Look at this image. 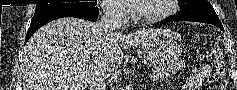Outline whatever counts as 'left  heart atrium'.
I'll list each match as a JSON object with an SVG mask.
<instances>
[{"label": "left heart atrium", "instance_id": "39dd6f15", "mask_svg": "<svg viewBox=\"0 0 237 90\" xmlns=\"http://www.w3.org/2000/svg\"><path fill=\"white\" fill-rule=\"evenodd\" d=\"M126 3H132L133 0H125Z\"/></svg>", "mask_w": 237, "mask_h": 90}]
</instances>
